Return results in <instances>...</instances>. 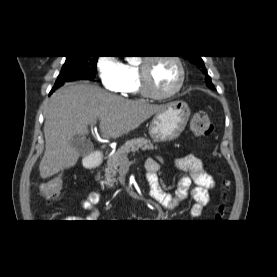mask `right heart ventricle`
<instances>
[{"mask_svg": "<svg viewBox=\"0 0 277 277\" xmlns=\"http://www.w3.org/2000/svg\"><path fill=\"white\" fill-rule=\"evenodd\" d=\"M127 84L125 88L126 93L140 94V82H139V66L136 64L126 65Z\"/></svg>", "mask_w": 277, "mask_h": 277, "instance_id": "e07e8e85", "label": "right heart ventricle"}]
</instances>
